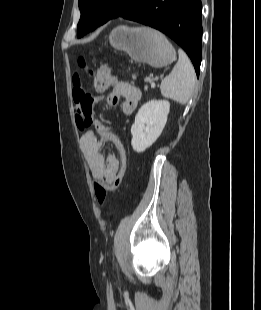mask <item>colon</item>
<instances>
[{
  "label": "colon",
  "mask_w": 261,
  "mask_h": 310,
  "mask_svg": "<svg viewBox=\"0 0 261 310\" xmlns=\"http://www.w3.org/2000/svg\"><path fill=\"white\" fill-rule=\"evenodd\" d=\"M78 65L82 69H87L86 61L82 57L79 58ZM87 74L91 77L93 88L97 92H105L114 85L115 79L111 74L109 68L106 67L105 65H100L96 70L87 69ZM114 146L116 148L117 158L119 160V171L112 182L109 183L102 181L95 182L94 184L95 195L99 203L104 202L107 191L115 190L120 185L125 173L126 152L124 146L119 141H115Z\"/></svg>",
  "instance_id": "1"
}]
</instances>
